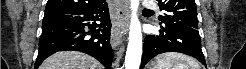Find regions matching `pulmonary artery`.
I'll return each mask as SVG.
<instances>
[{"instance_id": "1", "label": "pulmonary artery", "mask_w": 246, "mask_h": 69, "mask_svg": "<svg viewBox=\"0 0 246 69\" xmlns=\"http://www.w3.org/2000/svg\"><path fill=\"white\" fill-rule=\"evenodd\" d=\"M144 5L147 9H152L155 6V3L154 2H145Z\"/></svg>"}]
</instances>
